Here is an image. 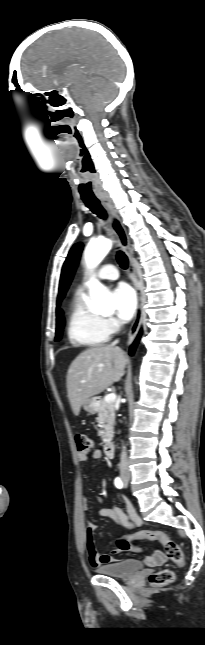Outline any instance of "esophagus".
Masks as SVG:
<instances>
[{
    "label": "esophagus",
    "instance_id": "34e87169",
    "mask_svg": "<svg viewBox=\"0 0 205 645\" xmlns=\"http://www.w3.org/2000/svg\"><path fill=\"white\" fill-rule=\"evenodd\" d=\"M98 198L100 199L101 203L103 206L109 211L110 216H111V221H112V226L114 229V232L119 240L120 246L122 249L126 252L128 259H129V277L134 285L136 296H137V309L135 313V317L133 320V323L131 325L129 334H128V345L133 342V340L136 338L140 326H141V320H142V292H141V287L137 281L136 278V271H135V266H134V259H133V250L131 248V243L130 239L128 237V234L126 232L125 227L123 226L120 217L118 216L113 204L111 203V200L106 194H99Z\"/></svg>",
    "mask_w": 205,
    "mask_h": 645
}]
</instances>
